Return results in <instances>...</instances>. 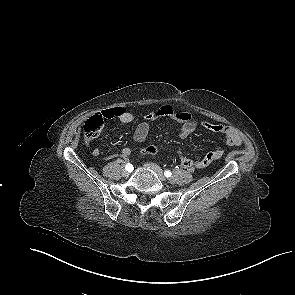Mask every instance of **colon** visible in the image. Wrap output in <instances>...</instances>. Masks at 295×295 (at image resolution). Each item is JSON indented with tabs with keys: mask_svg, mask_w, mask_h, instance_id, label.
I'll use <instances>...</instances> for the list:
<instances>
[{
	"mask_svg": "<svg viewBox=\"0 0 295 295\" xmlns=\"http://www.w3.org/2000/svg\"><path fill=\"white\" fill-rule=\"evenodd\" d=\"M103 119L99 115H95L91 118H89L85 124H84V130H85V137L87 140H91L94 137L97 136L99 131L101 130L103 126ZM156 153V148L150 146L147 147L144 151V155H154Z\"/></svg>",
	"mask_w": 295,
	"mask_h": 295,
	"instance_id": "1",
	"label": "colon"
}]
</instances>
